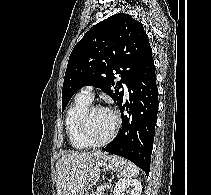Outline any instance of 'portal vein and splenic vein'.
Here are the masks:
<instances>
[{
  "label": "portal vein and splenic vein",
  "mask_w": 211,
  "mask_h": 195,
  "mask_svg": "<svg viewBox=\"0 0 211 195\" xmlns=\"http://www.w3.org/2000/svg\"><path fill=\"white\" fill-rule=\"evenodd\" d=\"M111 187V184L107 183L105 184V188H110Z\"/></svg>",
  "instance_id": "1"
}]
</instances>
